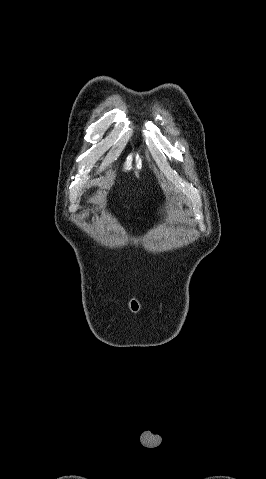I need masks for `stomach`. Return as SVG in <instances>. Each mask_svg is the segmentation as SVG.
<instances>
[{
    "mask_svg": "<svg viewBox=\"0 0 266 479\" xmlns=\"http://www.w3.org/2000/svg\"><path fill=\"white\" fill-rule=\"evenodd\" d=\"M182 206H183L182 198L179 196H174L172 198V202H169L167 205H165L162 211L168 212L174 207L182 208Z\"/></svg>",
    "mask_w": 266,
    "mask_h": 479,
    "instance_id": "obj_1",
    "label": "stomach"
}]
</instances>
